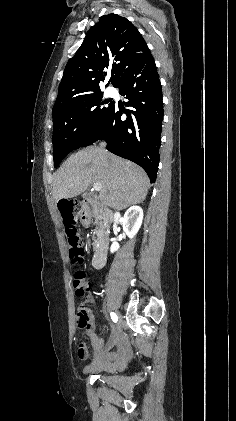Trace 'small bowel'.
I'll use <instances>...</instances> for the list:
<instances>
[{
  "label": "small bowel",
  "mask_w": 236,
  "mask_h": 421,
  "mask_svg": "<svg viewBox=\"0 0 236 421\" xmlns=\"http://www.w3.org/2000/svg\"><path fill=\"white\" fill-rule=\"evenodd\" d=\"M82 305L90 308L93 305V297L91 295H87L82 303ZM87 334L92 338L93 344L95 346L96 349V357H95V361L97 360V358L99 357V355H101L102 353H104L101 349L103 346V340L101 339H97V337L95 336V334H93V332L91 331H87ZM119 340L118 337L115 338V341ZM110 356H116L117 353H109ZM88 356V352L86 353L85 356L80 357L82 359H86Z\"/></svg>",
  "instance_id": "obj_1"
}]
</instances>
